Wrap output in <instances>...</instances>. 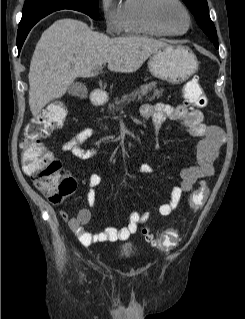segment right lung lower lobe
Masks as SVG:
<instances>
[{
	"label": "right lung lower lobe",
	"mask_w": 245,
	"mask_h": 319,
	"mask_svg": "<svg viewBox=\"0 0 245 319\" xmlns=\"http://www.w3.org/2000/svg\"><path fill=\"white\" fill-rule=\"evenodd\" d=\"M38 22V21H37ZM34 22L24 28H19L18 29V35H17V47H18V51L20 52L22 45L24 43V40L26 39L29 31L31 30V28L37 23Z\"/></svg>",
	"instance_id": "right-lung-lower-lobe-1"
}]
</instances>
